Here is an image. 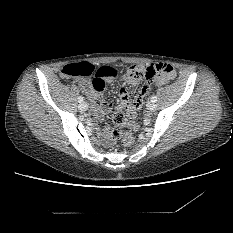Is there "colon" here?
Listing matches in <instances>:
<instances>
[{
    "mask_svg": "<svg viewBox=\"0 0 233 233\" xmlns=\"http://www.w3.org/2000/svg\"><path fill=\"white\" fill-rule=\"evenodd\" d=\"M172 67L166 63H154L148 66L130 65L126 68L128 76L135 79H145L147 81L153 80L158 74H163L168 77L172 75ZM111 72L110 67H101L96 69L95 66L88 62L82 61L72 63L64 66L60 70L62 78L80 77V78H92L94 83L101 82L103 76ZM137 114V110L132 105L126 106V113L116 112L112 116V121L115 124L114 127L104 125L102 132L105 134H111L114 140H119L124 146L132 145L134 141L133 131L136 128L134 123L127 121V117L134 118Z\"/></svg>",
    "mask_w": 233,
    "mask_h": 233,
    "instance_id": "5ec220e1",
    "label": "colon"
}]
</instances>
